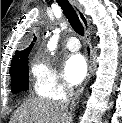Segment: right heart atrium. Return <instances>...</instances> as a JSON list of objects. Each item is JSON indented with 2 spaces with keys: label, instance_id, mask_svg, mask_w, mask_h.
<instances>
[{
  "label": "right heart atrium",
  "instance_id": "d8ad5b80",
  "mask_svg": "<svg viewBox=\"0 0 122 123\" xmlns=\"http://www.w3.org/2000/svg\"><path fill=\"white\" fill-rule=\"evenodd\" d=\"M33 87L37 95L50 99H61L71 92L58 69L46 58L37 57L31 63Z\"/></svg>",
  "mask_w": 122,
  "mask_h": 123
}]
</instances>
